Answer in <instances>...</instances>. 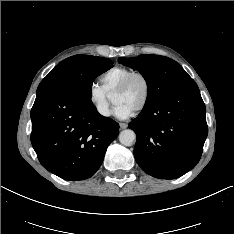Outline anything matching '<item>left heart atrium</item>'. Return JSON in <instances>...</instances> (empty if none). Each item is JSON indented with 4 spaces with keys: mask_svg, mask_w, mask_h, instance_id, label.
Masks as SVG:
<instances>
[{
    "mask_svg": "<svg viewBox=\"0 0 234 234\" xmlns=\"http://www.w3.org/2000/svg\"><path fill=\"white\" fill-rule=\"evenodd\" d=\"M113 113L119 119H126L131 116L133 112L124 105L116 104Z\"/></svg>",
    "mask_w": 234,
    "mask_h": 234,
    "instance_id": "obj_1",
    "label": "left heart atrium"
}]
</instances>
